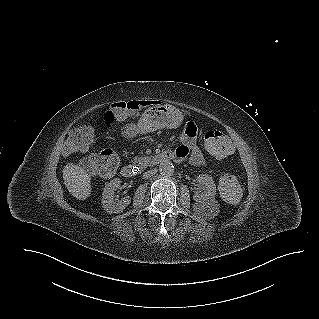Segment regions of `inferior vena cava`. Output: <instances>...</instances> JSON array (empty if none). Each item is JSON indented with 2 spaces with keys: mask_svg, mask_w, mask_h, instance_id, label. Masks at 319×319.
<instances>
[{
  "mask_svg": "<svg viewBox=\"0 0 319 319\" xmlns=\"http://www.w3.org/2000/svg\"><path fill=\"white\" fill-rule=\"evenodd\" d=\"M156 172H157L156 169H151V170L143 173V178L144 179L149 178V177L153 176Z\"/></svg>",
  "mask_w": 319,
  "mask_h": 319,
  "instance_id": "inferior-vena-cava-1",
  "label": "inferior vena cava"
}]
</instances>
